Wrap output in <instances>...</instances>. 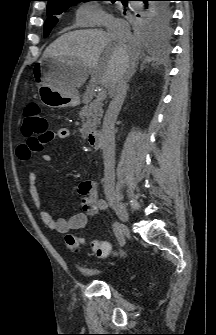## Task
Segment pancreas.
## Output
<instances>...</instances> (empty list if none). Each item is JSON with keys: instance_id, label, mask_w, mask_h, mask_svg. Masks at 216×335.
<instances>
[{"instance_id": "1", "label": "pancreas", "mask_w": 216, "mask_h": 335, "mask_svg": "<svg viewBox=\"0 0 216 335\" xmlns=\"http://www.w3.org/2000/svg\"><path fill=\"white\" fill-rule=\"evenodd\" d=\"M90 94H92V92H86L83 100L86 105L79 112V116L82 121V128L80 129V132L83 137L101 123V117L103 114L102 104L100 101L94 100L87 103V96Z\"/></svg>"}]
</instances>
